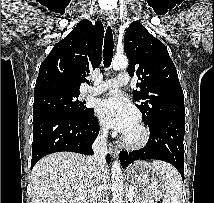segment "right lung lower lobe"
Returning <instances> with one entry per match:
<instances>
[{
	"instance_id": "right-lung-lower-lobe-1",
	"label": "right lung lower lobe",
	"mask_w": 214,
	"mask_h": 203,
	"mask_svg": "<svg viewBox=\"0 0 214 203\" xmlns=\"http://www.w3.org/2000/svg\"><path fill=\"white\" fill-rule=\"evenodd\" d=\"M99 133L93 109L87 115L50 114L33 120L31 169L45 155L70 151L91 155ZM107 163L111 158L107 155Z\"/></svg>"
}]
</instances>
